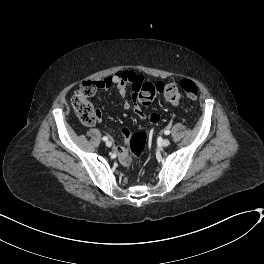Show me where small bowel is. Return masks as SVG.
Listing matches in <instances>:
<instances>
[{
    "label": "small bowel",
    "mask_w": 264,
    "mask_h": 264,
    "mask_svg": "<svg viewBox=\"0 0 264 264\" xmlns=\"http://www.w3.org/2000/svg\"><path fill=\"white\" fill-rule=\"evenodd\" d=\"M145 80V76L140 73L131 70H123L97 82V85L99 88L106 89L111 84H113L117 87L118 93L121 96H124L127 92V88L131 86L134 90L133 101L125 102L124 108L131 109L138 118L145 119L146 115L144 109L137 102V93ZM170 102L173 105H176L178 103L172 101ZM148 120L152 123H157L159 121V115L156 113L150 114L148 116ZM121 133L123 135L128 134V129H122ZM117 156L121 163L126 164L128 162L129 153L122 145H119L117 148Z\"/></svg>",
    "instance_id": "obj_1"
}]
</instances>
